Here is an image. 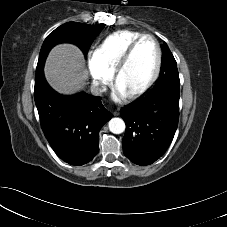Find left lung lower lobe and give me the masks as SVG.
Masks as SVG:
<instances>
[{"label":"left lung lower lobe","mask_w":227,"mask_h":227,"mask_svg":"<svg viewBox=\"0 0 227 227\" xmlns=\"http://www.w3.org/2000/svg\"><path fill=\"white\" fill-rule=\"evenodd\" d=\"M123 153L133 163L149 165L167 150L178 126L179 92L161 89L125 106Z\"/></svg>","instance_id":"left-lung-lower-lobe-1"}]
</instances>
